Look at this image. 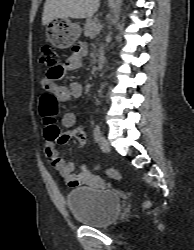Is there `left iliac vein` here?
Here are the masks:
<instances>
[{"label":"left iliac vein","instance_id":"left-iliac-vein-1","mask_svg":"<svg viewBox=\"0 0 194 250\" xmlns=\"http://www.w3.org/2000/svg\"><path fill=\"white\" fill-rule=\"evenodd\" d=\"M99 145H100V148L103 152H109L111 149L108 140L104 136L100 137Z\"/></svg>","mask_w":194,"mask_h":250}]
</instances>
